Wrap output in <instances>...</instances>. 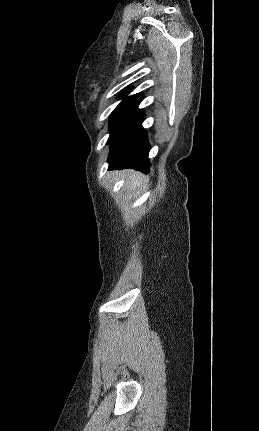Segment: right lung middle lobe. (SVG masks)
Segmentation results:
<instances>
[{"mask_svg": "<svg viewBox=\"0 0 259 431\" xmlns=\"http://www.w3.org/2000/svg\"><path fill=\"white\" fill-rule=\"evenodd\" d=\"M127 91L121 94V98L127 95ZM142 93L124 99L111 113L109 119V132L110 135L119 126V124L132 112V110L139 105L142 100Z\"/></svg>", "mask_w": 259, "mask_h": 431, "instance_id": "1", "label": "right lung middle lobe"}]
</instances>
